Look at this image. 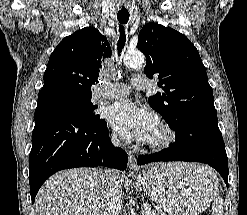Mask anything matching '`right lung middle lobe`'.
I'll return each mask as SVG.
<instances>
[{
	"label": "right lung middle lobe",
	"mask_w": 247,
	"mask_h": 215,
	"mask_svg": "<svg viewBox=\"0 0 247 215\" xmlns=\"http://www.w3.org/2000/svg\"><path fill=\"white\" fill-rule=\"evenodd\" d=\"M91 94H83L67 88H50L39 92L38 103H46L84 119L97 120Z\"/></svg>",
	"instance_id": "right-lung-middle-lobe-1"
}]
</instances>
